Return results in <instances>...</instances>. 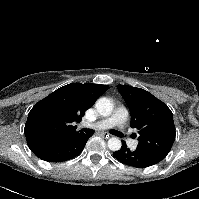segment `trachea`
<instances>
[{"instance_id": "1", "label": "trachea", "mask_w": 199, "mask_h": 199, "mask_svg": "<svg viewBox=\"0 0 199 199\" xmlns=\"http://www.w3.org/2000/svg\"><path fill=\"white\" fill-rule=\"evenodd\" d=\"M82 130H83L85 133H87V134H94V130H93V129H86V128H84V129H82ZM110 133L113 134V135H115V136H118V137L121 136L120 132H119V131H116V130H111Z\"/></svg>"}]
</instances>
